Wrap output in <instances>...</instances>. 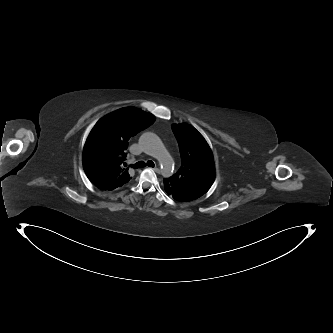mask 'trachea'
<instances>
[{"label":"trachea","instance_id":"trachea-1","mask_svg":"<svg viewBox=\"0 0 333 333\" xmlns=\"http://www.w3.org/2000/svg\"><path fill=\"white\" fill-rule=\"evenodd\" d=\"M133 168H142V167H145V166H149V167H154L155 164L153 161H148L147 163L143 162V161H139L133 165H131Z\"/></svg>","mask_w":333,"mask_h":333}]
</instances>
